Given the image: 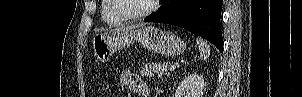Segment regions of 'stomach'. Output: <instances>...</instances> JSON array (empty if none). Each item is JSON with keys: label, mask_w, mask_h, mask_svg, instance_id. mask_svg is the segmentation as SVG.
<instances>
[{"label": "stomach", "mask_w": 302, "mask_h": 97, "mask_svg": "<svg viewBox=\"0 0 302 97\" xmlns=\"http://www.w3.org/2000/svg\"><path fill=\"white\" fill-rule=\"evenodd\" d=\"M135 42L149 51L168 57L180 55L186 49V43L174 33L147 26L95 35L92 41L94 56L99 62L105 63L117 49L128 47Z\"/></svg>", "instance_id": "1"}]
</instances>
